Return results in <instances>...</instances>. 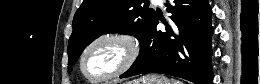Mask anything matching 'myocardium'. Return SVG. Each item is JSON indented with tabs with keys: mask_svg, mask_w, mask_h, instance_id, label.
Masks as SVG:
<instances>
[{
	"mask_svg": "<svg viewBox=\"0 0 260 84\" xmlns=\"http://www.w3.org/2000/svg\"><path fill=\"white\" fill-rule=\"evenodd\" d=\"M104 41H111L120 44L124 51V57L121 60L117 69L113 72L101 77L94 79L90 77L85 70V60L88 53L99 43ZM140 56V45L138 40L131 33L125 31H105L95 36L82 50L78 68L79 72L84 79L90 83H103L115 78L120 77L126 73L133 65L137 62Z\"/></svg>",
	"mask_w": 260,
	"mask_h": 84,
	"instance_id": "f54148a6",
	"label": "myocardium"
}]
</instances>
